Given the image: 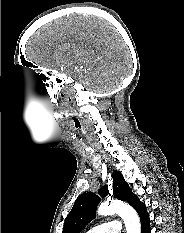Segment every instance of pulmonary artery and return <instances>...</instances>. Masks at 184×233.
Returning a JSON list of instances; mask_svg holds the SVG:
<instances>
[{
	"instance_id": "1",
	"label": "pulmonary artery",
	"mask_w": 184,
	"mask_h": 233,
	"mask_svg": "<svg viewBox=\"0 0 184 233\" xmlns=\"http://www.w3.org/2000/svg\"><path fill=\"white\" fill-rule=\"evenodd\" d=\"M121 232V224L118 221H108L101 225H98L87 233H120Z\"/></svg>"
}]
</instances>
